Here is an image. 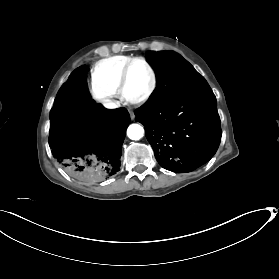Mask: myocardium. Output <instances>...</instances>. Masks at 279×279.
Returning <instances> with one entry per match:
<instances>
[{
	"label": "myocardium",
	"mask_w": 279,
	"mask_h": 279,
	"mask_svg": "<svg viewBox=\"0 0 279 279\" xmlns=\"http://www.w3.org/2000/svg\"><path fill=\"white\" fill-rule=\"evenodd\" d=\"M136 62H141L146 66L148 69L150 75H151V85L148 89V91L138 98H131L127 95L126 92V86H127V78L129 71L132 67V65ZM157 88V75L153 68V66L144 58V57H132L127 63L124 65V67L121 70L120 76H119V84H118V94L121 97V99L129 104H142L148 101L153 94L155 93Z\"/></svg>",
	"instance_id": "f54148a6"
}]
</instances>
